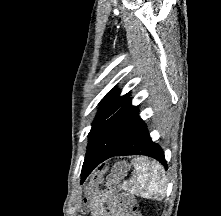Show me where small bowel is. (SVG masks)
I'll use <instances>...</instances> for the list:
<instances>
[{
  "label": "small bowel",
  "instance_id": "obj_1",
  "mask_svg": "<svg viewBox=\"0 0 221 216\" xmlns=\"http://www.w3.org/2000/svg\"><path fill=\"white\" fill-rule=\"evenodd\" d=\"M105 205H107V209ZM91 210L93 216H122L117 205L107 192H100V199L97 203L91 205Z\"/></svg>",
  "mask_w": 221,
  "mask_h": 216
}]
</instances>
